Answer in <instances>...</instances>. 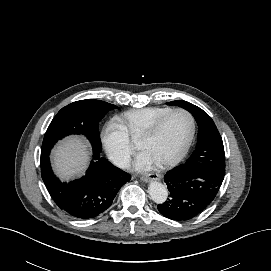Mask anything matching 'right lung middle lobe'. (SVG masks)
<instances>
[{
	"mask_svg": "<svg viewBox=\"0 0 271 271\" xmlns=\"http://www.w3.org/2000/svg\"><path fill=\"white\" fill-rule=\"evenodd\" d=\"M116 106L104 101L86 99L62 108L51 121L41 148V155L49 154L54 144L70 134L85 135L94 150L101 151L99 122Z\"/></svg>",
	"mask_w": 271,
	"mask_h": 271,
	"instance_id": "dd1d6c3e",
	"label": "right lung middle lobe"
}]
</instances>
